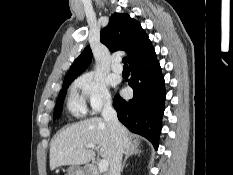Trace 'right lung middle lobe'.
Returning a JSON list of instances; mask_svg holds the SVG:
<instances>
[{
	"instance_id": "right-lung-middle-lobe-1",
	"label": "right lung middle lobe",
	"mask_w": 233,
	"mask_h": 175,
	"mask_svg": "<svg viewBox=\"0 0 233 175\" xmlns=\"http://www.w3.org/2000/svg\"><path fill=\"white\" fill-rule=\"evenodd\" d=\"M72 81L73 80H67V81H64V83H63V88L59 93L57 103L55 106L54 118H59L61 115L62 103H63V100L65 98L66 92H67L66 88L71 84Z\"/></svg>"
}]
</instances>
